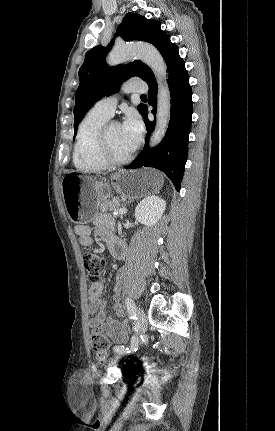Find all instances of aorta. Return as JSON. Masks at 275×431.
<instances>
[{"label": "aorta", "mask_w": 275, "mask_h": 431, "mask_svg": "<svg viewBox=\"0 0 275 431\" xmlns=\"http://www.w3.org/2000/svg\"><path fill=\"white\" fill-rule=\"evenodd\" d=\"M134 58L141 59L151 68L158 83L156 126L151 136V146H155L165 136L170 121V91L166 84L167 66L159 51L148 44L116 46L109 53L107 63L113 66Z\"/></svg>", "instance_id": "obj_1"}]
</instances>
